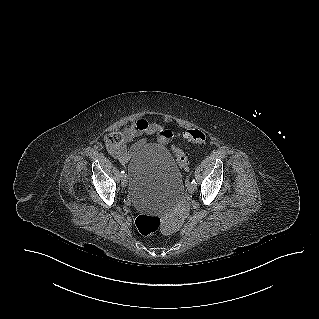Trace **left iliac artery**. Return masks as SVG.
<instances>
[{
  "label": "left iliac artery",
  "mask_w": 319,
  "mask_h": 319,
  "mask_svg": "<svg viewBox=\"0 0 319 319\" xmlns=\"http://www.w3.org/2000/svg\"><path fill=\"white\" fill-rule=\"evenodd\" d=\"M189 184H193V185H195L196 186V181L193 179L192 181H191V183H187V186L189 185Z\"/></svg>",
  "instance_id": "left-iliac-artery-1"
}]
</instances>
